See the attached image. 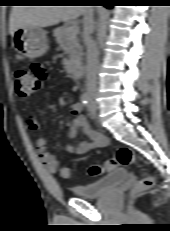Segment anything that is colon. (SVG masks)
Segmentation results:
<instances>
[{
  "label": "colon",
  "instance_id": "1",
  "mask_svg": "<svg viewBox=\"0 0 170 231\" xmlns=\"http://www.w3.org/2000/svg\"><path fill=\"white\" fill-rule=\"evenodd\" d=\"M38 87L39 84L30 71L26 69H17L14 72V88L20 97L27 98L31 96ZM136 161V155L130 148L121 147L117 150L115 156L109 159L104 165H93L89 168L88 172L92 176H98L105 170L114 169L117 165L127 166L135 164ZM59 174L63 179H69L72 176V172L68 167H61ZM153 183L154 180L151 176L143 177L134 186L132 194L150 188Z\"/></svg>",
  "mask_w": 170,
  "mask_h": 231
}]
</instances>
